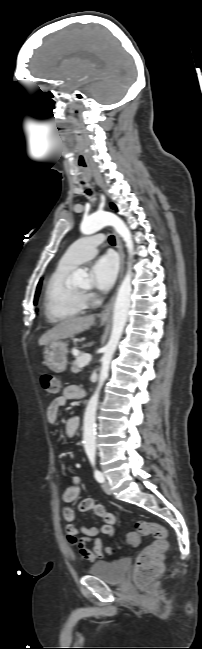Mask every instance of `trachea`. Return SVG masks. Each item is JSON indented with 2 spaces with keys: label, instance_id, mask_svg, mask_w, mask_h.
<instances>
[{
  "label": "trachea",
  "instance_id": "trachea-1",
  "mask_svg": "<svg viewBox=\"0 0 202 649\" xmlns=\"http://www.w3.org/2000/svg\"><path fill=\"white\" fill-rule=\"evenodd\" d=\"M85 193L88 194V195H90V194H91V190H90V189H86V190H85ZM108 241H109V243H110L111 245H115V238H114V236H112V235L109 236Z\"/></svg>",
  "mask_w": 202,
  "mask_h": 649
}]
</instances>
